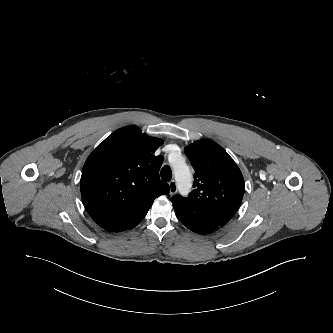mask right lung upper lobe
<instances>
[{"label": "right lung upper lobe", "mask_w": 333, "mask_h": 333, "mask_svg": "<svg viewBox=\"0 0 333 333\" xmlns=\"http://www.w3.org/2000/svg\"><path fill=\"white\" fill-rule=\"evenodd\" d=\"M163 141L136 126L116 130L87 158L80 180L84 207L109 232L135 227L155 198L169 193L159 179L163 163L154 155Z\"/></svg>", "instance_id": "1"}]
</instances>
